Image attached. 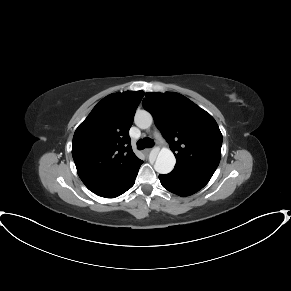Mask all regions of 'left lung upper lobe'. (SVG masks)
<instances>
[{"label": "left lung upper lobe", "instance_id": "left-lung-upper-lobe-1", "mask_svg": "<svg viewBox=\"0 0 291 291\" xmlns=\"http://www.w3.org/2000/svg\"><path fill=\"white\" fill-rule=\"evenodd\" d=\"M142 104L170 144L176 157L174 169L212 177L222 145L214 118L178 93L148 92Z\"/></svg>", "mask_w": 291, "mask_h": 291}]
</instances>
